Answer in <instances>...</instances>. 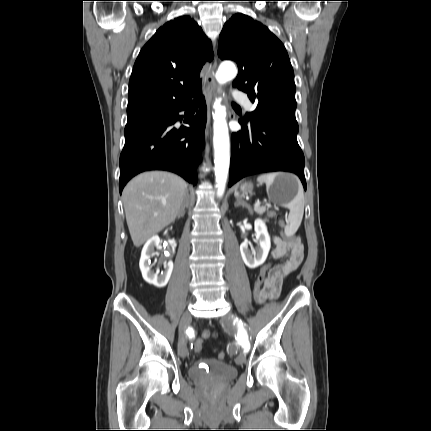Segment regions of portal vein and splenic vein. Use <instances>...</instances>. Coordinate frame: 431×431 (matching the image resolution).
<instances>
[{
  "mask_svg": "<svg viewBox=\"0 0 431 431\" xmlns=\"http://www.w3.org/2000/svg\"><path fill=\"white\" fill-rule=\"evenodd\" d=\"M260 205H261V202H260V201H257V202L255 203L254 207H258V206H260Z\"/></svg>",
  "mask_w": 431,
  "mask_h": 431,
  "instance_id": "portal-vein-and-splenic-vein-1",
  "label": "portal vein and splenic vein"
}]
</instances>
